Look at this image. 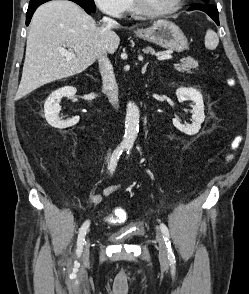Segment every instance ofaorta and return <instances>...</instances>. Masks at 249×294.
<instances>
[{
	"label": "aorta",
	"instance_id": "762f6f07",
	"mask_svg": "<svg viewBox=\"0 0 249 294\" xmlns=\"http://www.w3.org/2000/svg\"><path fill=\"white\" fill-rule=\"evenodd\" d=\"M139 108L134 102H128L126 107L125 134L122 144L125 147H132L139 131Z\"/></svg>",
	"mask_w": 249,
	"mask_h": 294
}]
</instances>
